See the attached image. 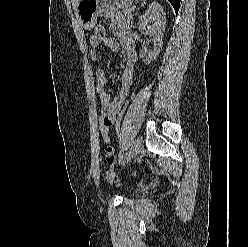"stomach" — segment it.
I'll list each match as a JSON object with an SVG mask.
<instances>
[{
    "label": "stomach",
    "mask_w": 248,
    "mask_h": 247,
    "mask_svg": "<svg viewBox=\"0 0 248 247\" xmlns=\"http://www.w3.org/2000/svg\"><path fill=\"white\" fill-rule=\"evenodd\" d=\"M134 0H80L75 9L76 17L86 30L92 29L98 16L108 17L117 9L128 8Z\"/></svg>",
    "instance_id": "0dacf381"
}]
</instances>
